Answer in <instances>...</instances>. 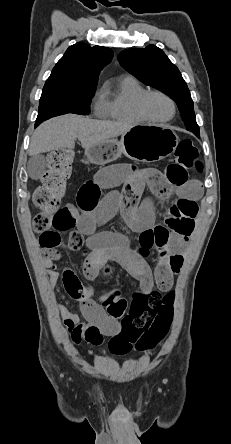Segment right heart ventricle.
Listing matches in <instances>:
<instances>
[{
  "label": "right heart ventricle",
  "mask_w": 231,
  "mask_h": 444,
  "mask_svg": "<svg viewBox=\"0 0 231 444\" xmlns=\"http://www.w3.org/2000/svg\"><path fill=\"white\" fill-rule=\"evenodd\" d=\"M146 89L133 77L123 78L117 91L107 99L103 117L123 124L144 123L136 111V101Z\"/></svg>",
  "instance_id": "e07e8e85"
}]
</instances>
